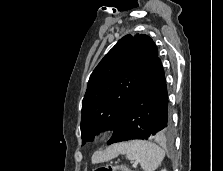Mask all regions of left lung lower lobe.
<instances>
[{"instance_id": "1", "label": "left lung lower lobe", "mask_w": 223, "mask_h": 171, "mask_svg": "<svg viewBox=\"0 0 223 171\" xmlns=\"http://www.w3.org/2000/svg\"><path fill=\"white\" fill-rule=\"evenodd\" d=\"M113 131L108 145L132 139L168 141L172 138L165 74L158 57Z\"/></svg>"}]
</instances>
